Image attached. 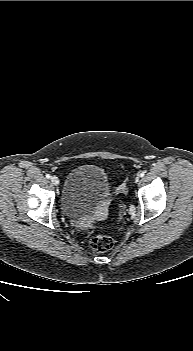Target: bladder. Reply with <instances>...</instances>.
<instances>
[{"mask_svg":"<svg viewBox=\"0 0 193 351\" xmlns=\"http://www.w3.org/2000/svg\"><path fill=\"white\" fill-rule=\"evenodd\" d=\"M112 199V189L106 171L97 165L87 164L72 169L65 181L61 208L70 219L92 217L103 200Z\"/></svg>","mask_w":193,"mask_h":351,"instance_id":"31cf9c89","label":"bladder"}]
</instances>
